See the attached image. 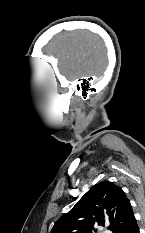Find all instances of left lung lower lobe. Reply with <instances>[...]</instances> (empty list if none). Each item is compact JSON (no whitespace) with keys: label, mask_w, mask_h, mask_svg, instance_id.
<instances>
[{"label":"left lung lower lobe","mask_w":145,"mask_h":233,"mask_svg":"<svg viewBox=\"0 0 145 233\" xmlns=\"http://www.w3.org/2000/svg\"><path fill=\"white\" fill-rule=\"evenodd\" d=\"M126 233H139V227L136 220L131 224Z\"/></svg>","instance_id":"obj_1"}]
</instances>
